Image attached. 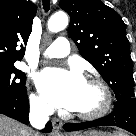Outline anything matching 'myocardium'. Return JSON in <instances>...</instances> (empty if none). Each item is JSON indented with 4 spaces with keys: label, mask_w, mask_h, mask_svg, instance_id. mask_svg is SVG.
I'll use <instances>...</instances> for the list:
<instances>
[{
    "label": "myocardium",
    "mask_w": 136,
    "mask_h": 136,
    "mask_svg": "<svg viewBox=\"0 0 136 136\" xmlns=\"http://www.w3.org/2000/svg\"><path fill=\"white\" fill-rule=\"evenodd\" d=\"M87 82L95 85L96 87L100 89L102 93V104L98 109L92 112H87V113L76 112V116L84 120L99 119L103 117L104 115H106L111 109L112 102H113L112 93L109 86L99 77L90 76L87 79Z\"/></svg>",
    "instance_id": "f54148a6"
}]
</instances>
